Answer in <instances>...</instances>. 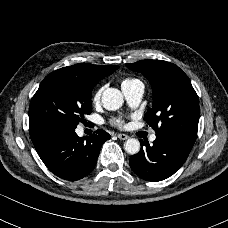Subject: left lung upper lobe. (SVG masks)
I'll return each mask as SVG.
<instances>
[{
    "label": "left lung upper lobe",
    "mask_w": 228,
    "mask_h": 228,
    "mask_svg": "<svg viewBox=\"0 0 228 228\" xmlns=\"http://www.w3.org/2000/svg\"><path fill=\"white\" fill-rule=\"evenodd\" d=\"M126 66L142 73L151 83L153 103L144 120L156 135L195 142L199 100L188 76L175 64L163 60L146 59Z\"/></svg>",
    "instance_id": "5c2ea615"
}]
</instances>
